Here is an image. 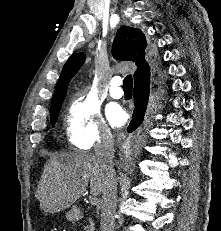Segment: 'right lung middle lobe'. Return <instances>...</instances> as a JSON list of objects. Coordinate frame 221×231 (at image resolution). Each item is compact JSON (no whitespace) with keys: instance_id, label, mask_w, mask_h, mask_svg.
I'll return each instance as SVG.
<instances>
[{"instance_id":"right-lung-middle-lobe-1","label":"right lung middle lobe","mask_w":221,"mask_h":231,"mask_svg":"<svg viewBox=\"0 0 221 231\" xmlns=\"http://www.w3.org/2000/svg\"><path fill=\"white\" fill-rule=\"evenodd\" d=\"M62 105V102H60L59 104H57L55 107H53L51 109V112H50V119H51V122L54 124L56 123L57 121V118H58V113H59V110H60V107ZM143 123V122H142Z\"/></svg>"}]
</instances>
